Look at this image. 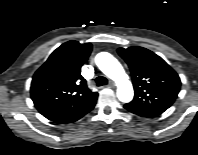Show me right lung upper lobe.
Returning <instances> with one entry per match:
<instances>
[{"label": "right lung upper lobe", "mask_w": 198, "mask_h": 155, "mask_svg": "<svg viewBox=\"0 0 198 155\" xmlns=\"http://www.w3.org/2000/svg\"><path fill=\"white\" fill-rule=\"evenodd\" d=\"M91 50V43L68 41L58 47L34 74L31 97L47 119L54 121L66 117L98 97L81 76V67Z\"/></svg>", "instance_id": "cb5924a9"}]
</instances>
